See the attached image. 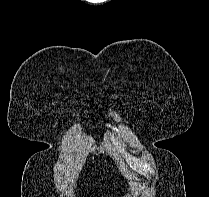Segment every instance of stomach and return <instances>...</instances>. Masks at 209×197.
I'll list each match as a JSON object with an SVG mask.
<instances>
[{
    "instance_id": "obj_1",
    "label": "stomach",
    "mask_w": 209,
    "mask_h": 197,
    "mask_svg": "<svg viewBox=\"0 0 209 197\" xmlns=\"http://www.w3.org/2000/svg\"><path fill=\"white\" fill-rule=\"evenodd\" d=\"M123 197H132V196H131V193H130V192H128V193H126V195H125V196H123Z\"/></svg>"
}]
</instances>
